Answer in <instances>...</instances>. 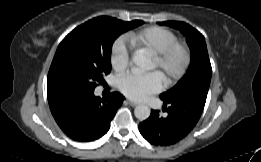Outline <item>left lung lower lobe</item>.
I'll use <instances>...</instances> for the list:
<instances>
[{
    "mask_svg": "<svg viewBox=\"0 0 261 162\" xmlns=\"http://www.w3.org/2000/svg\"><path fill=\"white\" fill-rule=\"evenodd\" d=\"M163 101V108L168 113L166 117L152 110L150 117L139 124L141 135L157 146L172 145L187 136L197 124L205 105V102L187 94Z\"/></svg>",
    "mask_w": 261,
    "mask_h": 162,
    "instance_id": "1",
    "label": "left lung lower lobe"
}]
</instances>
